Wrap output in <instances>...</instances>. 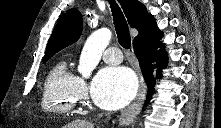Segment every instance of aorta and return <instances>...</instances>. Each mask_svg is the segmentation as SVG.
I'll return each mask as SVG.
<instances>
[{
    "mask_svg": "<svg viewBox=\"0 0 221 128\" xmlns=\"http://www.w3.org/2000/svg\"><path fill=\"white\" fill-rule=\"evenodd\" d=\"M112 33L108 28H101L93 32L87 39L80 55L78 72L84 78H89L98 65L103 51L111 40Z\"/></svg>",
    "mask_w": 221,
    "mask_h": 128,
    "instance_id": "obj_1",
    "label": "aorta"
}]
</instances>
